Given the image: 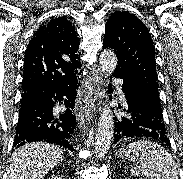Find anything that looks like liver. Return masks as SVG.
Segmentation results:
<instances>
[{"instance_id": "1", "label": "liver", "mask_w": 183, "mask_h": 179, "mask_svg": "<svg viewBox=\"0 0 183 179\" xmlns=\"http://www.w3.org/2000/svg\"><path fill=\"white\" fill-rule=\"evenodd\" d=\"M62 160L63 152L55 145L26 143L12 154L7 179H42Z\"/></svg>"}]
</instances>
